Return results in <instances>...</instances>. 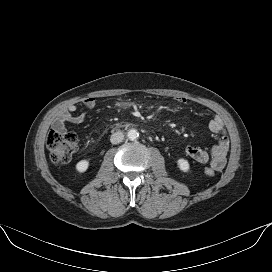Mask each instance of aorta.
I'll list each match as a JSON object with an SVG mask.
<instances>
[{
  "label": "aorta",
  "instance_id": "obj_1",
  "mask_svg": "<svg viewBox=\"0 0 272 272\" xmlns=\"http://www.w3.org/2000/svg\"><path fill=\"white\" fill-rule=\"evenodd\" d=\"M138 136H139V133H138L137 130H135V129H131V130H129L128 133H127V137H128V139L131 140V141L136 140V139L138 138Z\"/></svg>",
  "mask_w": 272,
  "mask_h": 272
}]
</instances>
